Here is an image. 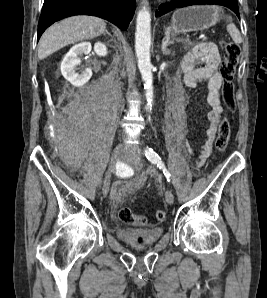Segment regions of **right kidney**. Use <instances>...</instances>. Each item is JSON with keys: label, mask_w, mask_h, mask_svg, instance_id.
I'll return each mask as SVG.
<instances>
[{"label": "right kidney", "mask_w": 267, "mask_h": 298, "mask_svg": "<svg viewBox=\"0 0 267 298\" xmlns=\"http://www.w3.org/2000/svg\"><path fill=\"white\" fill-rule=\"evenodd\" d=\"M91 49L92 46L90 42L76 44L68 51L61 62L62 75L75 87L83 86L92 76V70L90 68H86L81 74L76 73V66L81 63L79 57L83 54L90 53ZM94 51L100 57L107 55V48L105 44L101 42L95 43Z\"/></svg>", "instance_id": "1"}]
</instances>
